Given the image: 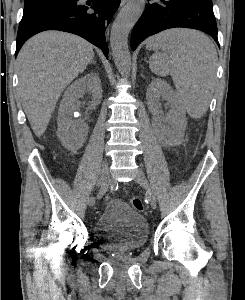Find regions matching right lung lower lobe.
I'll return each mask as SVG.
<instances>
[{
	"instance_id": "1",
	"label": "right lung lower lobe",
	"mask_w": 245,
	"mask_h": 300,
	"mask_svg": "<svg viewBox=\"0 0 245 300\" xmlns=\"http://www.w3.org/2000/svg\"><path fill=\"white\" fill-rule=\"evenodd\" d=\"M120 0H68L24 13L19 24L16 52L33 35L45 30H60L79 35L99 47L108 58L105 27L110 23Z\"/></svg>"
}]
</instances>
